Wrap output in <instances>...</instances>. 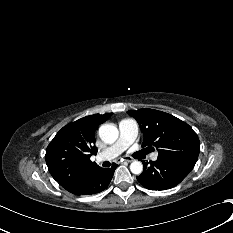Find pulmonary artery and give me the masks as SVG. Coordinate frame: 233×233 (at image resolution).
Listing matches in <instances>:
<instances>
[{
  "mask_svg": "<svg viewBox=\"0 0 233 233\" xmlns=\"http://www.w3.org/2000/svg\"><path fill=\"white\" fill-rule=\"evenodd\" d=\"M138 124L135 120L130 118L122 119L119 122V138L118 140L112 144L111 146L107 147L100 153L96 155L97 161H109L117 156H119L123 151H125L136 139L138 135ZM157 153H154L151 156L153 161L157 160Z\"/></svg>",
  "mask_w": 233,
  "mask_h": 233,
  "instance_id": "1",
  "label": "pulmonary artery"
}]
</instances>
